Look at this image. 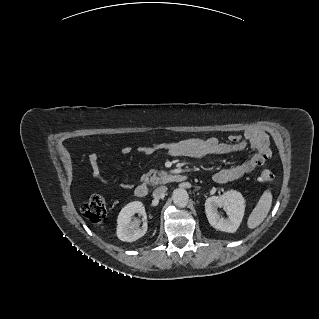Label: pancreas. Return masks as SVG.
<instances>
[{
  "label": "pancreas",
  "mask_w": 319,
  "mask_h": 319,
  "mask_svg": "<svg viewBox=\"0 0 319 319\" xmlns=\"http://www.w3.org/2000/svg\"><path fill=\"white\" fill-rule=\"evenodd\" d=\"M167 173L163 171L150 170L144 177V182L152 185L163 184L166 181Z\"/></svg>",
  "instance_id": "1"
}]
</instances>
